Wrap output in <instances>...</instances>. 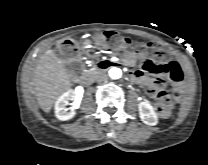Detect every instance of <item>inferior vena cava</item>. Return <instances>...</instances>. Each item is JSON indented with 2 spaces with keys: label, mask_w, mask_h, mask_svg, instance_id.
Here are the masks:
<instances>
[{
  "label": "inferior vena cava",
  "mask_w": 208,
  "mask_h": 165,
  "mask_svg": "<svg viewBox=\"0 0 208 165\" xmlns=\"http://www.w3.org/2000/svg\"><path fill=\"white\" fill-rule=\"evenodd\" d=\"M107 79V75L104 72H100L95 76V80L99 82H103Z\"/></svg>",
  "instance_id": "1"
}]
</instances>
